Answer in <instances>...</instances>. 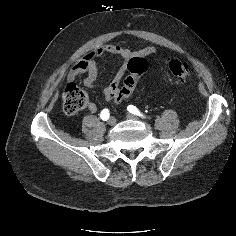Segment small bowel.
I'll list each match as a JSON object with an SVG mask.
<instances>
[{"instance_id": "c3829d8e", "label": "small bowel", "mask_w": 236, "mask_h": 236, "mask_svg": "<svg viewBox=\"0 0 236 236\" xmlns=\"http://www.w3.org/2000/svg\"><path fill=\"white\" fill-rule=\"evenodd\" d=\"M103 55L117 56L123 60L110 83L104 88L105 98L108 101H114L120 90V82L127 70L128 61L135 56L140 58L154 57L157 55V50L154 47H144L137 51H132L118 44H104L93 49L79 61L75 62L67 71L66 79L73 81L77 76L85 74L84 85L88 88L95 87L99 75L98 59ZM88 110L91 113H96L98 110L97 105L93 102L89 103Z\"/></svg>"}]
</instances>
